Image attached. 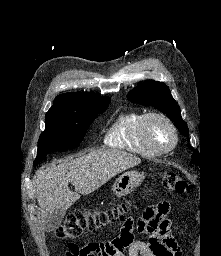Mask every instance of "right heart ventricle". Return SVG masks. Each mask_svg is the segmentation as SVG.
Instances as JSON below:
<instances>
[{"instance_id":"right-heart-ventricle-1","label":"right heart ventricle","mask_w":221,"mask_h":256,"mask_svg":"<svg viewBox=\"0 0 221 256\" xmlns=\"http://www.w3.org/2000/svg\"><path fill=\"white\" fill-rule=\"evenodd\" d=\"M143 115L139 111L120 113L112 121L105 134V144L144 156H154L155 153L139 137V127Z\"/></svg>"}]
</instances>
